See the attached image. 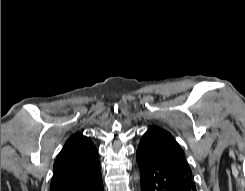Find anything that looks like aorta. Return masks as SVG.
<instances>
[{
  "label": "aorta",
  "instance_id": "aorta-1",
  "mask_svg": "<svg viewBox=\"0 0 245 191\" xmlns=\"http://www.w3.org/2000/svg\"><path fill=\"white\" fill-rule=\"evenodd\" d=\"M138 178H139V176H138V174H137L136 179H138Z\"/></svg>",
  "mask_w": 245,
  "mask_h": 191
}]
</instances>
